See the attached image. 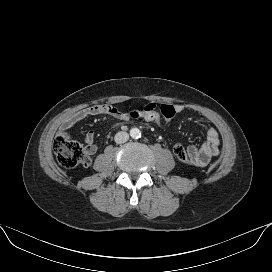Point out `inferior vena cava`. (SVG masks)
<instances>
[{
  "label": "inferior vena cava",
  "mask_w": 272,
  "mask_h": 272,
  "mask_svg": "<svg viewBox=\"0 0 272 272\" xmlns=\"http://www.w3.org/2000/svg\"><path fill=\"white\" fill-rule=\"evenodd\" d=\"M129 139V135L127 132L121 131L116 133L114 140L117 144H121V143H125L126 141H128Z\"/></svg>",
  "instance_id": "602c4592"
}]
</instances>
